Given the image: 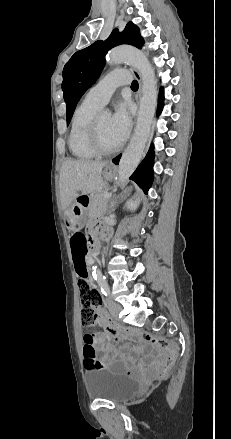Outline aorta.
I'll list each match as a JSON object with an SVG mask.
<instances>
[{
    "mask_svg": "<svg viewBox=\"0 0 231 439\" xmlns=\"http://www.w3.org/2000/svg\"><path fill=\"white\" fill-rule=\"evenodd\" d=\"M107 62L109 64L128 62L140 72L142 78V97L137 124L130 144L119 162V180L125 181L137 168L150 137L157 104V80L154 68L147 56L138 49L132 47L114 48L109 52ZM93 269L96 276H101L97 266H94Z\"/></svg>",
    "mask_w": 231,
    "mask_h": 439,
    "instance_id": "aorta-1",
    "label": "aorta"
}]
</instances>
